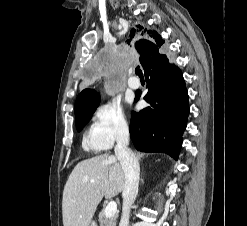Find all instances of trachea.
I'll return each instance as SVG.
<instances>
[{"mask_svg":"<svg viewBox=\"0 0 247 226\" xmlns=\"http://www.w3.org/2000/svg\"><path fill=\"white\" fill-rule=\"evenodd\" d=\"M135 73H136V75H138L139 77H143L142 71L139 69V67H137V68L135 69Z\"/></svg>","mask_w":247,"mask_h":226,"instance_id":"trachea-1","label":"trachea"}]
</instances>
